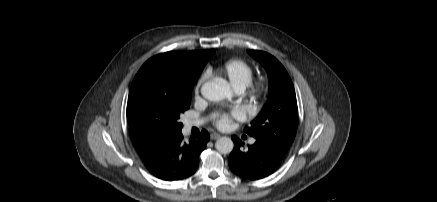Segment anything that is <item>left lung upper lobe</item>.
Instances as JSON below:
<instances>
[{
  "mask_svg": "<svg viewBox=\"0 0 437 202\" xmlns=\"http://www.w3.org/2000/svg\"><path fill=\"white\" fill-rule=\"evenodd\" d=\"M248 53L267 71L270 96L259 115L244 131L284 157L297 130V100L291 78L272 55L258 50Z\"/></svg>",
  "mask_w": 437,
  "mask_h": 202,
  "instance_id": "left-lung-upper-lobe-1",
  "label": "left lung upper lobe"
}]
</instances>
